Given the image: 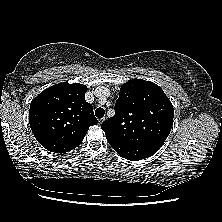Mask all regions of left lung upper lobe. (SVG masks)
<instances>
[{"instance_id": "5c2ea615", "label": "left lung upper lobe", "mask_w": 222, "mask_h": 222, "mask_svg": "<svg viewBox=\"0 0 222 222\" xmlns=\"http://www.w3.org/2000/svg\"><path fill=\"white\" fill-rule=\"evenodd\" d=\"M174 109L155 83L132 79L122 85L115 115L101 128L108 141L160 149L173 125Z\"/></svg>"}]
</instances>
